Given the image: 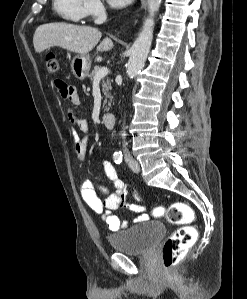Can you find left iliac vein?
Returning <instances> with one entry per match:
<instances>
[{
  "label": "left iliac vein",
  "mask_w": 247,
  "mask_h": 299,
  "mask_svg": "<svg viewBox=\"0 0 247 299\" xmlns=\"http://www.w3.org/2000/svg\"><path fill=\"white\" fill-rule=\"evenodd\" d=\"M128 165L131 168L132 171L138 173L140 171V166L138 162L132 158L128 159Z\"/></svg>",
  "instance_id": "left-iliac-vein-1"
}]
</instances>
